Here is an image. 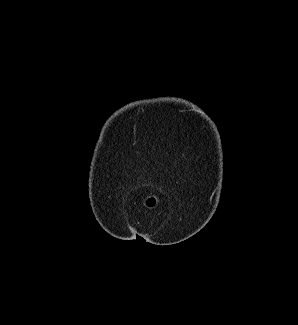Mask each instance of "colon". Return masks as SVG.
Here are the masks:
<instances>
[{
	"instance_id": "obj_1",
	"label": "colon",
	"mask_w": 298,
	"mask_h": 325,
	"mask_svg": "<svg viewBox=\"0 0 298 325\" xmlns=\"http://www.w3.org/2000/svg\"><path fill=\"white\" fill-rule=\"evenodd\" d=\"M155 203H156L155 198H148L146 201L148 207H153Z\"/></svg>"
}]
</instances>
